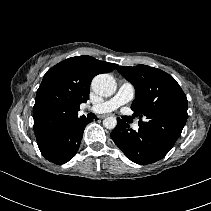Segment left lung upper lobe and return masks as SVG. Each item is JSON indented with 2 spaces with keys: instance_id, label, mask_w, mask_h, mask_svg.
<instances>
[{
  "instance_id": "1",
  "label": "left lung upper lobe",
  "mask_w": 211,
  "mask_h": 211,
  "mask_svg": "<svg viewBox=\"0 0 211 211\" xmlns=\"http://www.w3.org/2000/svg\"><path fill=\"white\" fill-rule=\"evenodd\" d=\"M117 70L135 87L131 109L140 118L139 128L173 147L188 117V101L179 84L166 72L147 65Z\"/></svg>"
}]
</instances>
